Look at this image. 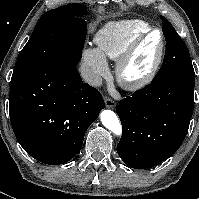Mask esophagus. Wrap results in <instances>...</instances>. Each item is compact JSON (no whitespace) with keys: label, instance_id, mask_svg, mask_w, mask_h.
Wrapping results in <instances>:
<instances>
[{"label":"esophagus","instance_id":"34e87169","mask_svg":"<svg viewBox=\"0 0 199 199\" xmlns=\"http://www.w3.org/2000/svg\"><path fill=\"white\" fill-rule=\"evenodd\" d=\"M105 105H106L107 108L114 109L115 106H116V103L111 98L107 97L105 99Z\"/></svg>","mask_w":199,"mask_h":199}]
</instances>
